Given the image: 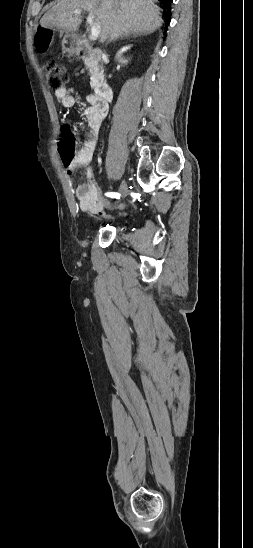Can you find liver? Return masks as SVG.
I'll return each mask as SVG.
<instances>
[{
  "label": "liver",
  "instance_id": "6515ba94",
  "mask_svg": "<svg viewBox=\"0 0 253 548\" xmlns=\"http://www.w3.org/2000/svg\"><path fill=\"white\" fill-rule=\"evenodd\" d=\"M76 9L97 18L100 43L122 34H150L163 23L153 0H60L44 14L41 27L75 32L82 23L81 17L72 13Z\"/></svg>",
  "mask_w": 253,
  "mask_h": 548
}]
</instances>
